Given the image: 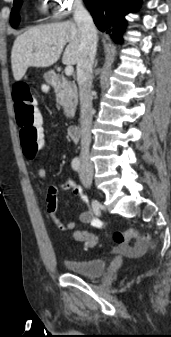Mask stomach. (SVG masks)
Instances as JSON below:
<instances>
[{"mask_svg":"<svg viewBox=\"0 0 171 337\" xmlns=\"http://www.w3.org/2000/svg\"><path fill=\"white\" fill-rule=\"evenodd\" d=\"M44 78L47 82H50L52 80L51 75L49 73L45 74Z\"/></svg>","mask_w":171,"mask_h":337,"instance_id":"1","label":"stomach"}]
</instances>
